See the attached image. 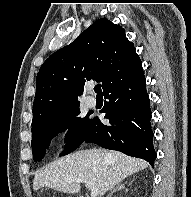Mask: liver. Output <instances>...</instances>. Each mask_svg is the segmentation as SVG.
Wrapping results in <instances>:
<instances>
[{"instance_id": "obj_1", "label": "liver", "mask_w": 191, "mask_h": 197, "mask_svg": "<svg viewBox=\"0 0 191 197\" xmlns=\"http://www.w3.org/2000/svg\"><path fill=\"white\" fill-rule=\"evenodd\" d=\"M146 167V161L118 151L86 149L62 157L39 170L33 180V189L48 187L74 194L81 189L74 180L85 179L93 182L102 196L128 176Z\"/></svg>"}]
</instances>
